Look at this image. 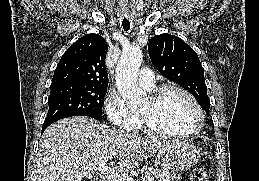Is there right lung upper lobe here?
<instances>
[{"label": "right lung upper lobe", "instance_id": "obj_1", "mask_svg": "<svg viewBox=\"0 0 259 181\" xmlns=\"http://www.w3.org/2000/svg\"><path fill=\"white\" fill-rule=\"evenodd\" d=\"M107 51V43L99 34H88L78 39L62 55L50 87L69 85L107 88Z\"/></svg>", "mask_w": 259, "mask_h": 181}]
</instances>
